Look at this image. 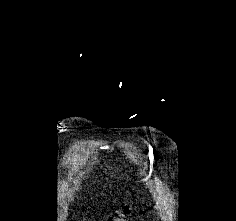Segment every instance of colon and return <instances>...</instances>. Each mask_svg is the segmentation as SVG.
I'll use <instances>...</instances> for the list:
<instances>
[{
	"label": "colon",
	"mask_w": 236,
	"mask_h": 221,
	"mask_svg": "<svg viewBox=\"0 0 236 221\" xmlns=\"http://www.w3.org/2000/svg\"><path fill=\"white\" fill-rule=\"evenodd\" d=\"M130 213L131 211L128 207H123L116 210L106 221H128Z\"/></svg>",
	"instance_id": "5ec220e1"
}]
</instances>
